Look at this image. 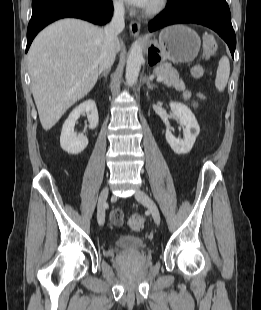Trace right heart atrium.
<instances>
[{"label": "right heart atrium", "mask_w": 261, "mask_h": 310, "mask_svg": "<svg viewBox=\"0 0 261 310\" xmlns=\"http://www.w3.org/2000/svg\"><path fill=\"white\" fill-rule=\"evenodd\" d=\"M113 9L117 14L124 13V5L121 0H112Z\"/></svg>", "instance_id": "right-heart-atrium-1"}]
</instances>
